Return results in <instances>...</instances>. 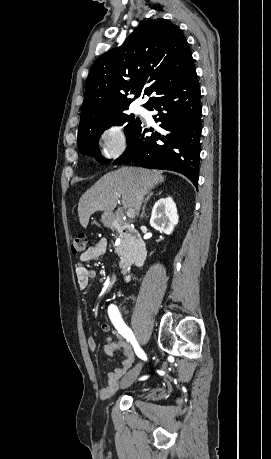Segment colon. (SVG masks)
<instances>
[{
	"instance_id": "colon-1",
	"label": "colon",
	"mask_w": 271,
	"mask_h": 459,
	"mask_svg": "<svg viewBox=\"0 0 271 459\" xmlns=\"http://www.w3.org/2000/svg\"><path fill=\"white\" fill-rule=\"evenodd\" d=\"M87 245V236L84 233L78 234L72 242V252L74 254H82L85 252Z\"/></svg>"
}]
</instances>
